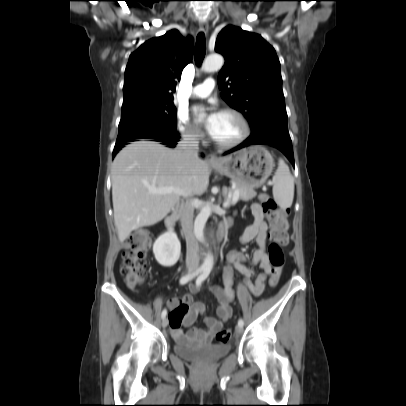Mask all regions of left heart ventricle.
<instances>
[{"instance_id":"obj_1","label":"left heart ventricle","mask_w":406,"mask_h":406,"mask_svg":"<svg viewBox=\"0 0 406 406\" xmlns=\"http://www.w3.org/2000/svg\"><path fill=\"white\" fill-rule=\"evenodd\" d=\"M241 132V124L235 116L220 113L217 126L212 133V136L221 142H231L238 138Z\"/></svg>"}]
</instances>
